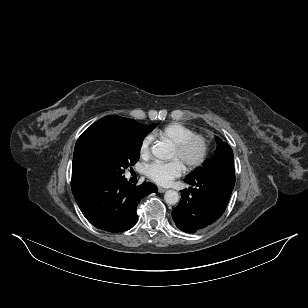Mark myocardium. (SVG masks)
<instances>
[{
  "mask_svg": "<svg viewBox=\"0 0 308 308\" xmlns=\"http://www.w3.org/2000/svg\"><path fill=\"white\" fill-rule=\"evenodd\" d=\"M195 143H199L201 145V150L196 158L185 163L187 169L189 170L199 168L207 160L211 146L208 136L201 133H194L180 143L174 145V149L176 150L177 154L182 157Z\"/></svg>",
  "mask_w": 308,
  "mask_h": 308,
  "instance_id": "f54148a6",
  "label": "myocardium"
}]
</instances>
